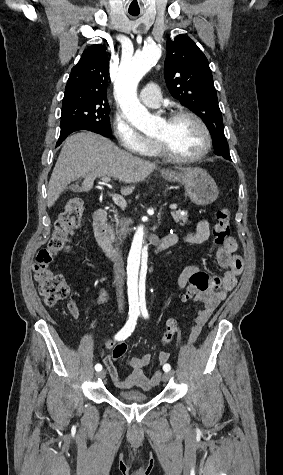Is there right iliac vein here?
Here are the masks:
<instances>
[{
  "mask_svg": "<svg viewBox=\"0 0 283 475\" xmlns=\"http://www.w3.org/2000/svg\"><path fill=\"white\" fill-rule=\"evenodd\" d=\"M105 374H106V371H105V370H102V371H100L99 373H97V377H99V378H104V377H105Z\"/></svg>",
  "mask_w": 283,
  "mask_h": 475,
  "instance_id": "63e3f726",
  "label": "right iliac vein"
}]
</instances>
